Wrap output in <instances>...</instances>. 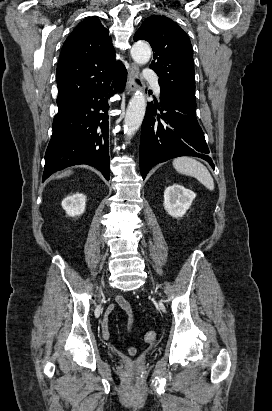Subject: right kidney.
Returning <instances> with one entry per match:
<instances>
[{
    "mask_svg": "<svg viewBox=\"0 0 272 411\" xmlns=\"http://www.w3.org/2000/svg\"><path fill=\"white\" fill-rule=\"evenodd\" d=\"M86 196L82 193H75L67 196L62 201V208L66 214L75 217L81 215L85 210Z\"/></svg>",
    "mask_w": 272,
    "mask_h": 411,
    "instance_id": "1",
    "label": "right kidney"
}]
</instances>
